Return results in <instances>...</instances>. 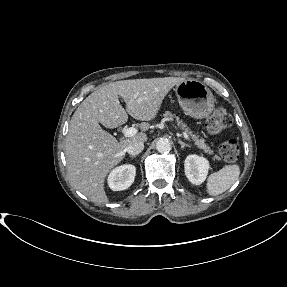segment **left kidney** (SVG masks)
<instances>
[{
    "instance_id": "left-kidney-1",
    "label": "left kidney",
    "mask_w": 287,
    "mask_h": 287,
    "mask_svg": "<svg viewBox=\"0 0 287 287\" xmlns=\"http://www.w3.org/2000/svg\"><path fill=\"white\" fill-rule=\"evenodd\" d=\"M185 175L195 185L202 184L210 168L209 161L198 155H188L184 163Z\"/></svg>"
}]
</instances>
